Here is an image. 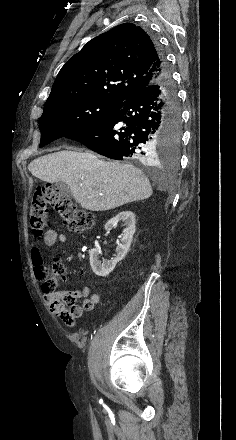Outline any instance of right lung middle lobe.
Here are the masks:
<instances>
[{"instance_id": "obj_1", "label": "right lung middle lobe", "mask_w": 236, "mask_h": 440, "mask_svg": "<svg viewBox=\"0 0 236 440\" xmlns=\"http://www.w3.org/2000/svg\"><path fill=\"white\" fill-rule=\"evenodd\" d=\"M120 103L107 102L96 98H80L46 102L39 121L43 147L60 137H67L87 130L108 117ZM181 127L165 129L158 145L161 157L171 163L177 161Z\"/></svg>"}]
</instances>
